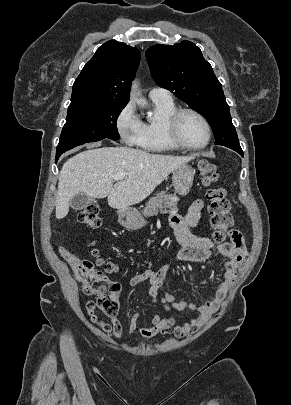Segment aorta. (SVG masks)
<instances>
[{
    "mask_svg": "<svg viewBox=\"0 0 291 405\" xmlns=\"http://www.w3.org/2000/svg\"><path fill=\"white\" fill-rule=\"evenodd\" d=\"M137 83L135 81L132 82V86H131V98L133 101H135L139 106L141 107H145L147 102L146 100L139 98L137 96Z\"/></svg>",
    "mask_w": 291,
    "mask_h": 405,
    "instance_id": "obj_1",
    "label": "aorta"
}]
</instances>
